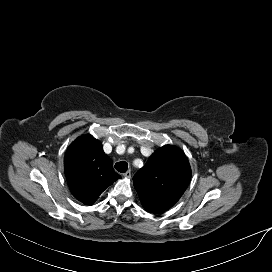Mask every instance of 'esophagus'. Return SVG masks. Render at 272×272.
<instances>
[{"label":"esophagus","instance_id":"obj_1","mask_svg":"<svg viewBox=\"0 0 272 272\" xmlns=\"http://www.w3.org/2000/svg\"><path fill=\"white\" fill-rule=\"evenodd\" d=\"M124 177L127 178V179H130L131 178V171L128 170L127 172H125Z\"/></svg>","mask_w":272,"mask_h":272}]
</instances>
